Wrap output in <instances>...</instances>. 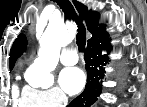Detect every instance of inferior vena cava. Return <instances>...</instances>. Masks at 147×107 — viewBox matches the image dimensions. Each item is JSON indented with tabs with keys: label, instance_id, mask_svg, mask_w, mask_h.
I'll list each match as a JSON object with an SVG mask.
<instances>
[{
	"label": "inferior vena cava",
	"instance_id": "1",
	"mask_svg": "<svg viewBox=\"0 0 147 107\" xmlns=\"http://www.w3.org/2000/svg\"><path fill=\"white\" fill-rule=\"evenodd\" d=\"M62 99H63V107H65L66 105H67V97L64 95L63 97H62Z\"/></svg>",
	"mask_w": 147,
	"mask_h": 107
}]
</instances>
